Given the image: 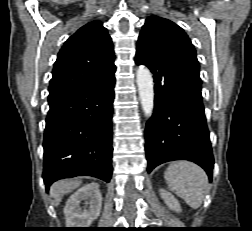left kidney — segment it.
<instances>
[{
	"label": "left kidney",
	"mask_w": 252,
	"mask_h": 231,
	"mask_svg": "<svg viewBox=\"0 0 252 231\" xmlns=\"http://www.w3.org/2000/svg\"><path fill=\"white\" fill-rule=\"evenodd\" d=\"M160 195H161V198L164 200V202L166 203V205L170 209H172L176 212L181 211V207H180L178 200L170 192H168L164 189H161Z\"/></svg>",
	"instance_id": "obj_1"
}]
</instances>
